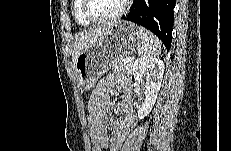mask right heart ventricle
I'll return each mask as SVG.
<instances>
[{
  "label": "right heart ventricle",
  "mask_w": 231,
  "mask_h": 151,
  "mask_svg": "<svg viewBox=\"0 0 231 151\" xmlns=\"http://www.w3.org/2000/svg\"><path fill=\"white\" fill-rule=\"evenodd\" d=\"M73 13H74L75 20L79 25L88 26L91 24V22L88 21L83 15L82 0H75L74 1Z\"/></svg>",
  "instance_id": "1"
}]
</instances>
